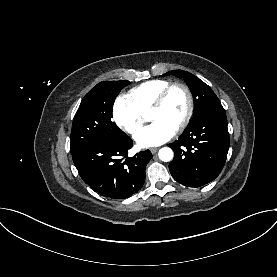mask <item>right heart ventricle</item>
Segmentation results:
<instances>
[{"label": "right heart ventricle", "instance_id": "1", "mask_svg": "<svg viewBox=\"0 0 277 277\" xmlns=\"http://www.w3.org/2000/svg\"><path fill=\"white\" fill-rule=\"evenodd\" d=\"M170 82L164 79L146 81L129 91V98L143 113L150 109L158 95L168 86Z\"/></svg>", "mask_w": 277, "mask_h": 277}]
</instances>
